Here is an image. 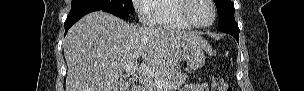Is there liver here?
Returning <instances> with one entry per match:
<instances>
[{
	"instance_id": "1",
	"label": "liver",
	"mask_w": 304,
	"mask_h": 91,
	"mask_svg": "<svg viewBox=\"0 0 304 91\" xmlns=\"http://www.w3.org/2000/svg\"><path fill=\"white\" fill-rule=\"evenodd\" d=\"M194 45L210 49L196 32L145 27L92 12L74 24L64 40L66 91H128L124 66L141 57L137 70L145 77H159Z\"/></svg>"
}]
</instances>
